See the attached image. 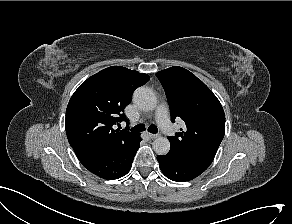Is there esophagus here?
Instances as JSON below:
<instances>
[{"mask_svg":"<svg viewBox=\"0 0 292 224\" xmlns=\"http://www.w3.org/2000/svg\"><path fill=\"white\" fill-rule=\"evenodd\" d=\"M148 136H149L151 139H156V138H158L160 135H159V134L148 133Z\"/></svg>","mask_w":292,"mask_h":224,"instance_id":"34e87169","label":"esophagus"}]
</instances>
